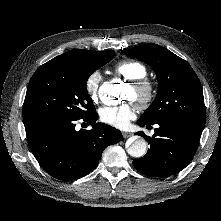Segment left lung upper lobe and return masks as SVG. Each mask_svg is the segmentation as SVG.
Here are the masks:
<instances>
[{"label": "left lung upper lobe", "instance_id": "1", "mask_svg": "<svg viewBox=\"0 0 221 221\" xmlns=\"http://www.w3.org/2000/svg\"><path fill=\"white\" fill-rule=\"evenodd\" d=\"M121 54L145 62L158 77L156 98L140 121L155 123L173 119L205 125L201 83L185 60L153 43L124 49Z\"/></svg>", "mask_w": 221, "mask_h": 221}]
</instances>
